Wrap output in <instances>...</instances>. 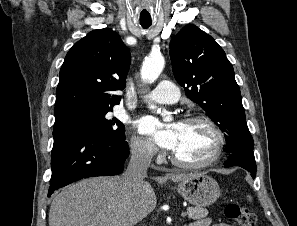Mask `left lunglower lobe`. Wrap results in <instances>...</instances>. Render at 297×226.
Masks as SVG:
<instances>
[{
  "instance_id": "1",
  "label": "left lung lower lobe",
  "mask_w": 297,
  "mask_h": 226,
  "mask_svg": "<svg viewBox=\"0 0 297 226\" xmlns=\"http://www.w3.org/2000/svg\"><path fill=\"white\" fill-rule=\"evenodd\" d=\"M240 166L251 173L252 178L256 176V164L254 154L232 155L224 163V167Z\"/></svg>"
}]
</instances>
